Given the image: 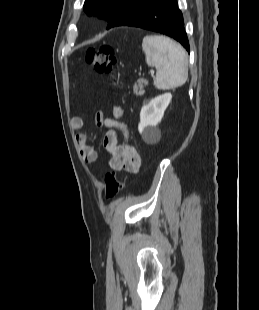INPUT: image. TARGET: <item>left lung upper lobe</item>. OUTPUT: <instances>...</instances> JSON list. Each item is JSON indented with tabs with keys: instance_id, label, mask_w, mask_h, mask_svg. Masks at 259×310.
Segmentation results:
<instances>
[{
	"instance_id": "obj_1",
	"label": "left lung upper lobe",
	"mask_w": 259,
	"mask_h": 310,
	"mask_svg": "<svg viewBox=\"0 0 259 310\" xmlns=\"http://www.w3.org/2000/svg\"><path fill=\"white\" fill-rule=\"evenodd\" d=\"M149 0H85L84 11L88 16H97L106 20L107 29L117 22L131 9Z\"/></svg>"
}]
</instances>
